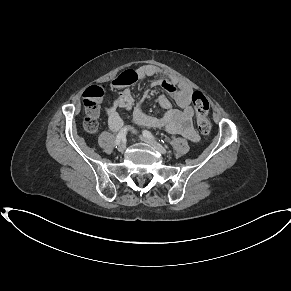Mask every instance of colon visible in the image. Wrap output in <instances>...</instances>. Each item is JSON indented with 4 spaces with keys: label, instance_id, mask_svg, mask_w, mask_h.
Wrapping results in <instances>:
<instances>
[{
    "label": "colon",
    "instance_id": "1",
    "mask_svg": "<svg viewBox=\"0 0 291 291\" xmlns=\"http://www.w3.org/2000/svg\"><path fill=\"white\" fill-rule=\"evenodd\" d=\"M122 82L121 84H127ZM105 89L100 86H91L85 91L84 108L87 117L84 121V129L88 132H95L98 129L99 119V102L104 95ZM192 102L196 113V124L200 133L207 135L211 131V122L208 117L209 101L200 91L192 94Z\"/></svg>",
    "mask_w": 291,
    "mask_h": 291
}]
</instances>
